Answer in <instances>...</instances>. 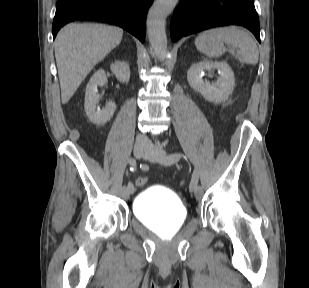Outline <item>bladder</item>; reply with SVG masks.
Segmentation results:
<instances>
[{
    "label": "bladder",
    "mask_w": 309,
    "mask_h": 288,
    "mask_svg": "<svg viewBox=\"0 0 309 288\" xmlns=\"http://www.w3.org/2000/svg\"><path fill=\"white\" fill-rule=\"evenodd\" d=\"M133 211L140 223L158 233L180 230L186 222L187 210L172 191L150 186L133 201Z\"/></svg>",
    "instance_id": "obj_1"
}]
</instances>
